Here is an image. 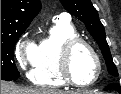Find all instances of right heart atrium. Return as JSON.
I'll return each mask as SVG.
<instances>
[{"label":"right heart atrium","instance_id":"right-heart-atrium-1","mask_svg":"<svg viewBox=\"0 0 121 94\" xmlns=\"http://www.w3.org/2000/svg\"><path fill=\"white\" fill-rule=\"evenodd\" d=\"M35 47L33 42L27 41L23 42L15 49V61L20 68L25 69L28 64L32 63Z\"/></svg>","mask_w":121,"mask_h":94}]
</instances>
